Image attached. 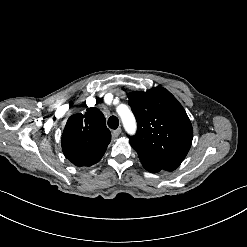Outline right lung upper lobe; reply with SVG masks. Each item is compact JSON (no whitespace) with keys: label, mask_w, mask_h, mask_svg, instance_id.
I'll list each match as a JSON object with an SVG mask.
<instances>
[{"label":"right lung upper lobe","mask_w":247,"mask_h":247,"mask_svg":"<svg viewBox=\"0 0 247 247\" xmlns=\"http://www.w3.org/2000/svg\"><path fill=\"white\" fill-rule=\"evenodd\" d=\"M111 141L106 120L98 108H88L85 114L72 115L62 134L65 157L78 167L99 162Z\"/></svg>","instance_id":"cb5924a9"}]
</instances>
